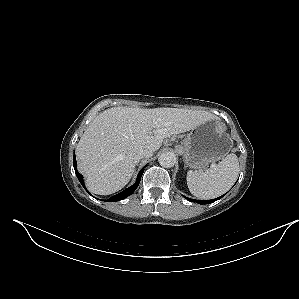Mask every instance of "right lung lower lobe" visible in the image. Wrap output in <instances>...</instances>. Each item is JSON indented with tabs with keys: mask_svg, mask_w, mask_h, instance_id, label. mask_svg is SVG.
I'll return each mask as SVG.
<instances>
[{
	"mask_svg": "<svg viewBox=\"0 0 299 299\" xmlns=\"http://www.w3.org/2000/svg\"><path fill=\"white\" fill-rule=\"evenodd\" d=\"M73 166H74L75 173H76V176H77L78 180L80 181L82 186L85 188L83 176L77 170V162H76L75 154H74V157H73ZM143 172H144V169H142L139 172L136 183L134 185H132L129 188L125 189L124 191L112 196L111 198L107 199V201H120L122 199H125L129 195H131L135 191V189L138 187Z\"/></svg>",
	"mask_w": 299,
	"mask_h": 299,
	"instance_id": "1",
	"label": "right lung lower lobe"
}]
</instances>
